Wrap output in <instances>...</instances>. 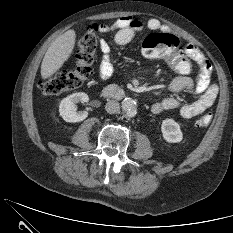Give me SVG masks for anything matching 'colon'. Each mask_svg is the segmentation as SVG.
I'll return each mask as SVG.
<instances>
[{
    "label": "colon",
    "mask_w": 233,
    "mask_h": 233,
    "mask_svg": "<svg viewBox=\"0 0 233 233\" xmlns=\"http://www.w3.org/2000/svg\"><path fill=\"white\" fill-rule=\"evenodd\" d=\"M101 24L87 28L80 40L76 53L75 66L70 71H61L41 83L44 93L55 95L82 87L90 78L97 48V32ZM143 52L148 58L164 59L169 67L178 74L187 75L192 70L191 59L180 48L176 35L166 32L149 34L143 41ZM213 118L206 112L196 122L197 126L207 127Z\"/></svg>",
    "instance_id": "5ec220e1"
}]
</instances>
